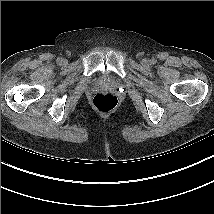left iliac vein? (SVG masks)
I'll list each match as a JSON object with an SVG mask.
<instances>
[{
  "label": "left iliac vein",
  "mask_w": 214,
  "mask_h": 214,
  "mask_svg": "<svg viewBox=\"0 0 214 214\" xmlns=\"http://www.w3.org/2000/svg\"><path fill=\"white\" fill-rule=\"evenodd\" d=\"M142 62H143L144 64H147V60H145V59H144Z\"/></svg>",
  "instance_id": "4c4485c4"
}]
</instances>
